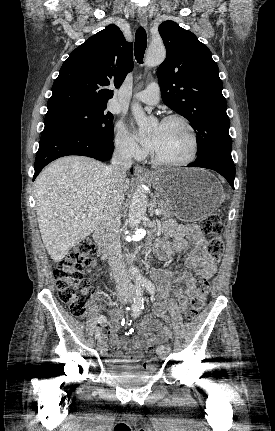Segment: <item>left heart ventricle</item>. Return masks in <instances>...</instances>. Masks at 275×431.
Listing matches in <instances>:
<instances>
[{"mask_svg": "<svg viewBox=\"0 0 275 431\" xmlns=\"http://www.w3.org/2000/svg\"><path fill=\"white\" fill-rule=\"evenodd\" d=\"M152 136L157 143L153 150L166 161L186 159L191 151V138L187 129L179 122L160 124L154 127Z\"/></svg>", "mask_w": 275, "mask_h": 431, "instance_id": "b2bd125f", "label": "left heart ventricle"}]
</instances>
